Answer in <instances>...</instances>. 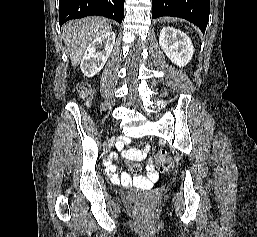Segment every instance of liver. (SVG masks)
I'll return each instance as SVG.
<instances>
[{"label": "liver", "mask_w": 257, "mask_h": 237, "mask_svg": "<svg viewBox=\"0 0 257 237\" xmlns=\"http://www.w3.org/2000/svg\"><path fill=\"white\" fill-rule=\"evenodd\" d=\"M62 30V37L67 45L72 66L76 67L90 43L110 31L111 24L105 18L87 17L69 21L62 27Z\"/></svg>", "instance_id": "obj_1"}]
</instances>
